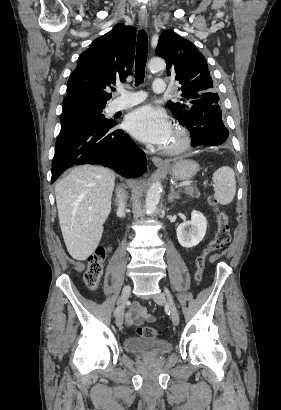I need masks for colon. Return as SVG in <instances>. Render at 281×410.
<instances>
[{"instance_id": "obj_1", "label": "colon", "mask_w": 281, "mask_h": 410, "mask_svg": "<svg viewBox=\"0 0 281 410\" xmlns=\"http://www.w3.org/2000/svg\"><path fill=\"white\" fill-rule=\"evenodd\" d=\"M211 206L217 211L218 230L209 243L204 252L197 258V273L196 280L199 282L202 279V272L205 266L206 257L216 251L221 250L230 241L229 224L227 215L218 209V202L214 196H209ZM108 253V248L100 246L94 254L89 257L88 266L84 274V281L87 287L91 290H96L100 284V280L104 270V260ZM138 334L145 339H156L161 335V332L153 327L144 326L138 328Z\"/></svg>"}]
</instances>
